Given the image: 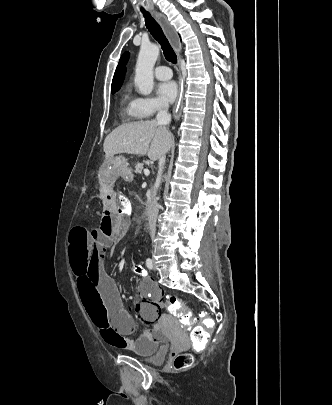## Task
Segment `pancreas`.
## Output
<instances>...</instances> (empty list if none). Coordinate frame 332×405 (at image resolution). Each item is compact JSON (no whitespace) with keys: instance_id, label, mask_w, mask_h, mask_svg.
<instances>
[{"instance_id":"1","label":"pancreas","mask_w":332,"mask_h":405,"mask_svg":"<svg viewBox=\"0 0 332 405\" xmlns=\"http://www.w3.org/2000/svg\"><path fill=\"white\" fill-rule=\"evenodd\" d=\"M144 168V164L143 163H137L135 166V172L138 174H141Z\"/></svg>"}]
</instances>
